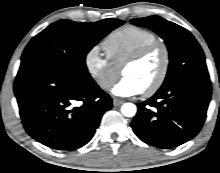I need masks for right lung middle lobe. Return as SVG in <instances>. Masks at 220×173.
Masks as SVG:
<instances>
[{
    "label": "right lung middle lobe",
    "mask_w": 220,
    "mask_h": 173,
    "mask_svg": "<svg viewBox=\"0 0 220 173\" xmlns=\"http://www.w3.org/2000/svg\"><path fill=\"white\" fill-rule=\"evenodd\" d=\"M124 21L108 18L94 23L59 20L36 35L25 48L20 70L48 69L74 79L91 78L87 53Z\"/></svg>",
    "instance_id": "1"
}]
</instances>
